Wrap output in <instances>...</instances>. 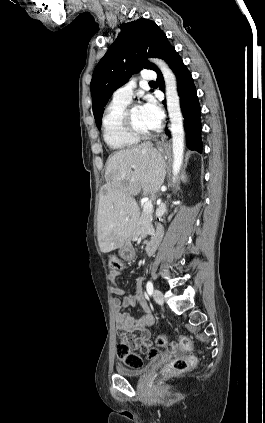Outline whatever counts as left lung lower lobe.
Listing matches in <instances>:
<instances>
[{"label": "left lung lower lobe", "mask_w": 265, "mask_h": 423, "mask_svg": "<svg viewBox=\"0 0 265 423\" xmlns=\"http://www.w3.org/2000/svg\"><path fill=\"white\" fill-rule=\"evenodd\" d=\"M164 60L168 63L177 77V90L180 97V106L185 118L184 127L187 133V146L198 152L202 151L201 141V122H200V105L196 95V88L192 76L182 59L169 44L164 56ZM158 77L157 82L161 90L165 89L162 73L158 69L156 71ZM166 105V102H162ZM166 133L170 137L169 130Z\"/></svg>", "instance_id": "obj_1"}]
</instances>
